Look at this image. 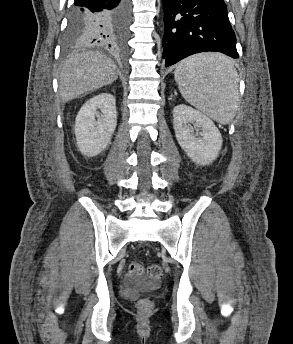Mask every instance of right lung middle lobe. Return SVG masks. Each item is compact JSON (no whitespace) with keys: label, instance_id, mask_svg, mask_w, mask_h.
Instances as JSON below:
<instances>
[{"label":"right lung middle lobe","instance_id":"right-lung-middle-lobe-1","mask_svg":"<svg viewBox=\"0 0 293 344\" xmlns=\"http://www.w3.org/2000/svg\"><path fill=\"white\" fill-rule=\"evenodd\" d=\"M88 16L80 11L72 10L69 20V26L65 35V45L70 47L84 44L85 36L83 27L88 24Z\"/></svg>","mask_w":293,"mask_h":344}]
</instances>
